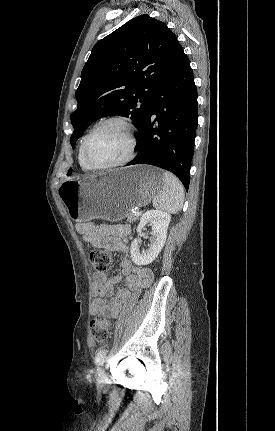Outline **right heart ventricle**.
<instances>
[{"instance_id":"e07e8e85","label":"right heart ventricle","mask_w":275,"mask_h":431,"mask_svg":"<svg viewBox=\"0 0 275 431\" xmlns=\"http://www.w3.org/2000/svg\"><path fill=\"white\" fill-rule=\"evenodd\" d=\"M81 146H82V144H81ZM81 146L79 148V156H78V158H79V164H80V166H81V168L83 170H90V168L85 164V162L83 160Z\"/></svg>"}]
</instances>
